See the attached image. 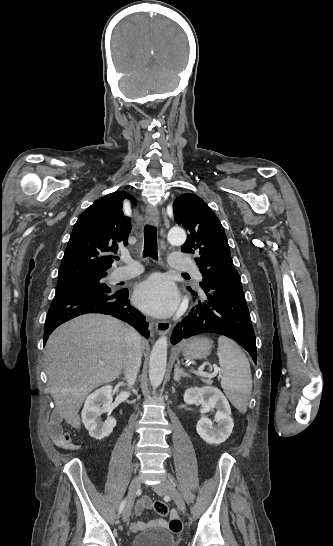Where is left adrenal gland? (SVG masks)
Returning <instances> with one entry per match:
<instances>
[{
    "mask_svg": "<svg viewBox=\"0 0 333 546\" xmlns=\"http://www.w3.org/2000/svg\"><path fill=\"white\" fill-rule=\"evenodd\" d=\"M181 377H188V378H190V375L187 374V373H185V372L180 368V363L177 362V364L175 365V368H174V380H175L176 382H179Z\"/></svg>",
    "mask_w": 333,
    "mask_h": 546,
    "instance_id": "a2214340",
    "label": "left adrenal gland"
}]
</instances>
